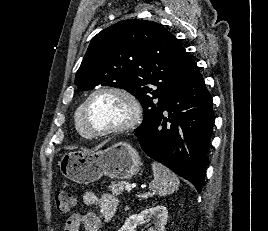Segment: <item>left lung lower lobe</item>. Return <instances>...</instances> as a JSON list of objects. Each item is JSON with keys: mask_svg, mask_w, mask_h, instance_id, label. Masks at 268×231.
Listing matches in <instances>:
<instances>
[{"mask_svg": "<svg viewBox=\"0 0 268 231\" xmlns=\"http://www.w3.org/2000/svg\"><path fill=\"white\" fill-rule=\"evenodd\" d=\"M213 125L212 98L196 65L169 92L153 126L135 136L149 157L190 181L200 193Z\"/></svg>", "mask_w": 268, "mask_h": 231, "instance_id": "1", "label": "left lung lower lobe"}]
</instances>
